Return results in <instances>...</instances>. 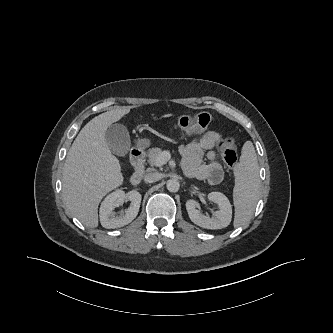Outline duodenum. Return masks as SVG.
<instances>
[{
	"instance_id": "1",
	"label": "duodenum",
	"mask_w": 333,
	"mask_h": 333,
	"mask_svg": "<svg viewBox=\"0 0 333 333\" xmlns=\"http://www.w3.org/2000/svg\"><path fill=\"white\" fill-rule=\"evenodd\" d=\"M131 163L134 167V173L130 177L131 185H138L145 174V153L141 149H135L131 154Z\"/></svg>"
}]
</instances>
